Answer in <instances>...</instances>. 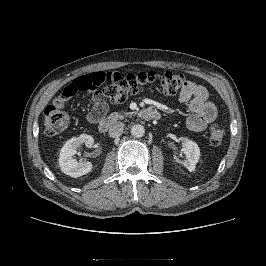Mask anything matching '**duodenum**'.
Here are the masks:
<instances>
[{"mask_svg":"<svg viewBox=\"0 0 266 266\" xmlns=\"http://www.w3.org/2000/svg\"><path fill=\"white\" fill-rule=\"evenodd\" d=\"M139 117L144 120H158L160 118V113L152 108H144L139 111ZM89 118L92 123H95L98 130L102 133L107 132L119 119L121 116L119 114H111L108 116H103L100 112L93 110L89 113Z\"/></svg>","mask_w":266,"mask_h":266,"instance_id":"1","label":"duodenum"}]
</instances>
